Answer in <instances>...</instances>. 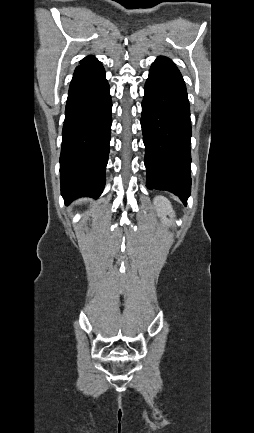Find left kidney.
Segmentation results:
<instances>
[{"mask_svg":"<svg viewBox=\"0 0 254 433\" xmlns=\"http://www.w3.org/2000/svg\"><path fill=\"white\" fill-rule=\"evenodd\" d=\"M154 205L157 208V214L161 218L163 224L170 225L172 224V219H168L167 215L174 216L175 213L171 206V203L164 196H156L154 199Z\"/></svg>","mask_w":254,"mask_h":433,"instance_id":"left-kidney-1","label":"left kidney"}]
</instances>
